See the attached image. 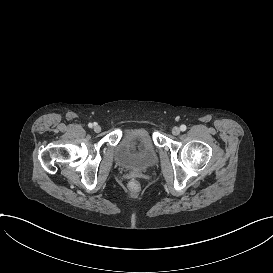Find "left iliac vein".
Returning a JSON list of instances; mask_svg holds the SVG:
<instances>
[{"instance_id": "left-iliac-vein-1", "label": "left iliac vein", "mask_w": 273, "mask_h": 273, "mask_svg": "<svg viewBox=\"0 0 273 273\" xmlns=\"http://www.w3.org/2000/svg\"><path fill=\"white\" fill-rule=\"evenodd\" d=\"M180 128L179 127H173L172 128V134L173 135H179L180 134Z\"/></svg>"}]
</instances>
